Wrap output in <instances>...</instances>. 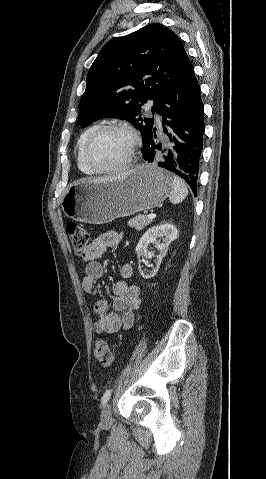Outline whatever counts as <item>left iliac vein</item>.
<instances>
[{
    "label": "left iliac vein",
    "instance_id": "1",
    "mask_svg": "<svg viewBox=\"0 0 266 479\" xmlns=\"http://www.w3.org/2000/svg\"><path fill=\"white\" fill-rule=\"evenodd\" d=\"M113 419H112V412H111V406L109 403H106L103 406L102 412H101V423L105 427H109L112 425Z\"/></svg>",
    "mask_w": 266,
    "mask_h": 479
}]
</instances>
